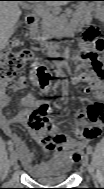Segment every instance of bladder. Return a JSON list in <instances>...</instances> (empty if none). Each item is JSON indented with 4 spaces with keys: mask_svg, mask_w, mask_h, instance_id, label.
<instances>
[{
    "mask_svg": "<svg viewBox=\"0 0 104 189\" xmlns=\"http://www.w3.org/2000/svg\"><path fill=\"white\" fill-rule=\"evenodd\" d=\"M67 171L55 167L54 169L46 170L42 175H32V177L40 183L55 184L63 182L67 178Z\"/></svg>",
    "mask_w": 104,
    "mask_h": 189,
    "instance_id": "bladder-1",
    "label": "bladder"
}]
</instances>
